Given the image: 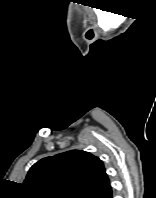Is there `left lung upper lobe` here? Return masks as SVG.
Returning <instances> with one entry per match:
<instances>
[{"mask_svg":"<svg viewBox=\"0 0 156 198\" xmlns=\"http://www.w3.org/2000/svg\"><path fill=\"white\" fill-rule=\"evenodd\" d=\"M23 184L29 198H94L110 182L98 157L71 150L35 163Z\"/></svg>","mask_w":156,"mask_h":198,"instance_id":"1","label":"left lung upper lobe"}]
</instances>
